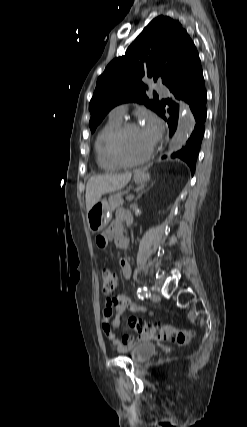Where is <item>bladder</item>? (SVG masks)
Listing matches in <instances>:
<instances>
[{
	"label": "bladder",
	"instance_id": "31cf9c89",
	"mask_svg": "<svg viewBox=\"0 0 247 427\" xmlns=\"http://www.w3.org/2000/svg\"><path fill=\"white\" fill-rule=\"evenodd\" d=\"M156 353V346L152 343H142L134 346L130 350V357L134 362H144L154 356Z\"/></svg>",
	"mask_w": 247,
	"mask_h": 427
}]
</instances>
